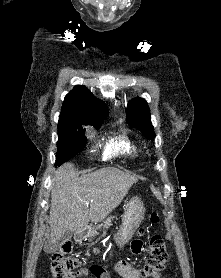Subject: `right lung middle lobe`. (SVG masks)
<instances>
[{
  "label": "right lung middle lobe",
  "mask_w": 221,
  "mask_h": 278,
  "mask_svg": "<svg viewBox=\"0 0 221 278\" xmlns=\"http://www.w3.org/2000/svg\"><path fill=\"white\" fill-rule=\"evenodd\" d=\"M85 125L99 128L101 124H86L81 121L59 120L56 164L61 165L76 156L86 145Z\"/></svg>",
  "instance_id": "right-lung-middle-lobe-1"
}]
</instances>
